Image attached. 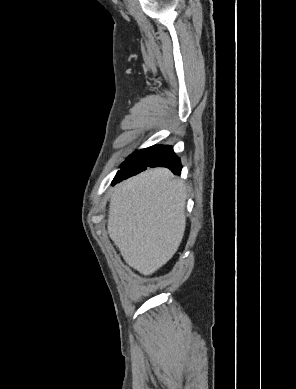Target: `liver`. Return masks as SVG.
I'll list each match as a JSON object with an SVG mask.
<instances>
[{"mask_svg":"<svg viewBox=\"0 0 296 389\" xmlns=\"http://www.w3.org/2000/svg\"><path fill=\"white\" fill-rule=\"evenodd\" d=\"M186 187L166 168L119 184L110 199L108 234L125 262L151 275L177 251L186 226Z\"/></svg>","mask_w":296,"mask_h":389,"instance_id":"6515ba94","label":"liver"}]
</instances>
